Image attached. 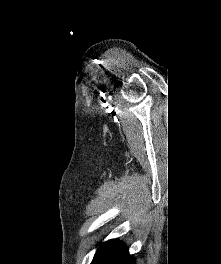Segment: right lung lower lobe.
<instances>
[{
    "instance_id": "98d812e1",
    "label": "right lung lower lobe",
    "mask_w": 221,
    "mask_h": 264,
    "mask_svg": "<svg viewBox=\"0 0 221 264\" xmlns=\"http://www.w3.org/2000/svg\"><path fill=\"white\" fill-rule=\"evenodd\" d=\"M91 264H134V258L125 245L110 240L99 247Z\"/></svg>"
}]
</instances>
